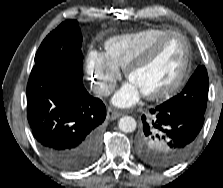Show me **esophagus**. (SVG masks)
I'll list each match as a JSON object with an SVG mask.
<instances>
[{
    "label": "esophagus",
    "mask_w": 223,
    "mask_h": 188,
    "mask_svg": "<svg viewBox=\"0 0 223 188\" xmlns=\"http://www.w3.org/2000/svg\"><path fill=\"white\" fill-rule=\"evenodd\" d=\"M120 116H121V114L119 112L114 111L111 108H109L108 111H107V119H109V120L117 119Z\"/></svg>",
    "instance_id": "esophagus-1"
}]
</instances>
